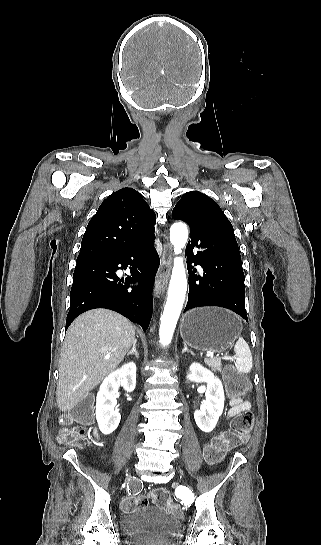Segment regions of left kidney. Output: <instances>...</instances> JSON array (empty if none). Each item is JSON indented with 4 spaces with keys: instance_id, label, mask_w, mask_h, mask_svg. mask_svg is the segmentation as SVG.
Masks as SVG:
<instances>
[{
    "instance_id": "5707ae66",
    "label": "left kidney",
    "mask_w": 321,
    "mask_h": 545,
    "mask_svg": "<svg viewBox=\"0 0 321 545\" xmlns=\"http://www.w3.org/2000/svg\"><path fill=\"white\" fill-rule=\"evenodd\" d=\"M188 381L192 383H207L206 401L200 405V411H195L194 419L197 427L204 433L215 429L224 409V389L220 379L214 377L209 369H204L200 363H192L189 367Z\"/></svg>"
}]
</instances>
